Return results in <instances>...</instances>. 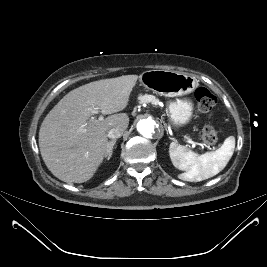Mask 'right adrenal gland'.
Listing matches in <instances>:
<instances>
[{"instance_id":"obj_1","label":"right adrenal gland","mask_w":267,"mask_h":267,"mask_svg":"<svg viewBox=\"0 0 267 267\" xmlns=\"http://www.w3.org/2000/svg\"><path fill=\"white\" fill-rule=\"evenodd\" d=\"M116 141H117V139H114V140H111V141L108 143V153L106 154L107 160H109L110 157H111V155H112L113 147H114Z\"/></svg>"}]
</instances>
